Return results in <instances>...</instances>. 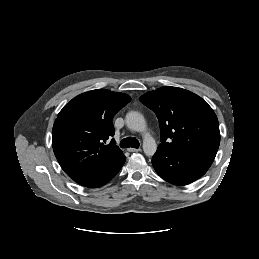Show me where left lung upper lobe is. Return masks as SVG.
I'll return each mask as SVG.
<instances>
[{
	"instance_id": "1",
	"label": "left lung upper lobe",
	"mask_w": 259,
	"mask_h": 259,
	"mask_svg": "<svg viewBox=\"0 0 259 259\" xmlns=\"http://www.w3.org/2000/svg\"><path fill=\"white\" fill-rule=\"evenodd\" d=\"M160 123L161 144L178 155L215 158L220 132L216 114L198 95L177 87H161L139 99Z\"/></svg>"
}]
</instances>
